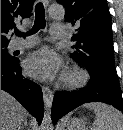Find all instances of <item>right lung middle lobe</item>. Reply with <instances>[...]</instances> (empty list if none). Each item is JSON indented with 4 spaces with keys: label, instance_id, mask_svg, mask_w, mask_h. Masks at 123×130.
<instances>
[{
    "label": "right lung middle lobe",
    "instance_id": "1",
    "mask_svg": "<svg viewBox=\"0 0 123 130\" xmlns=\"http://www.w3.org/2000/svg\"><path fill=\"white\" fill-rule=\"evenodd\" d=\"M8 44H1V57L12 58V56L7 51Z\"/></svg>",
    "mask_w": 123,
    "mask_h": 130
}]
</instances>
